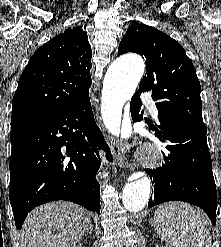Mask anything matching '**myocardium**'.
I'll return each mask as SVG.
<instances>
[{"label": "myocardium", "instance_id": "obj_1", "mask_svg": "<svg viewBox=\"0 0 221 247\" xmlns=\"http://www.w3.org/2000/svg\"><path fill=\"white\" fill-rule=\"evenodd\" d=\"M142 162L148 167L160 166L164 161V155L157 146H148L141 155Z\"/></svg>", "mask_w": 221, "mask_h": 247}]
</instances>
